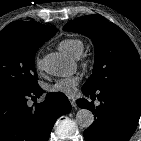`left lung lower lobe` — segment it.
I'll return each mask as SVG.
<instances>
[{
  "label": "left lung lower lobe",
  "mask_w": 141,
  "mask_h": 141,
  "mask_svg": "<svg viewBox=\"0 0 141 141\" xmlns=\"http://www.w3.org/2000/svg\"><path fill=\"white\" fill-rule=\"evenodd\" d=\"M86 96L96 92L82 88ZM100 105L78 99L77 105L95 114V121L84 131L86 141H128L141 114V87L114 86L97 91Z\"/></svg>",
  "instance_id": "left-lung-lower-lobe-1"
}]
</instances>
